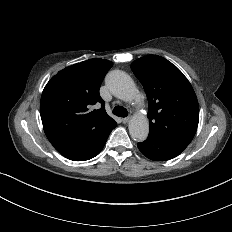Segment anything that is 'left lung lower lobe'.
<instances>
[{
	"label": "left lung lower lobe",
	"mask_w": 232,
	"mask_h": 232,
	"mask_svg": "<svg viewBox=\"0 0 232 232\" xmlns=\"http://www.w3.org/2000/svg\"><path fill=\"white\" fill-rule=\"evenodd\" d=\"M137 146L144 156L154 161L173 159L184 150L176 144L153 135H149L144 142L138 143Z\"/></svg>",
	"instance_id": "left-lung-lower-lobe-1"
}]
</instances>
